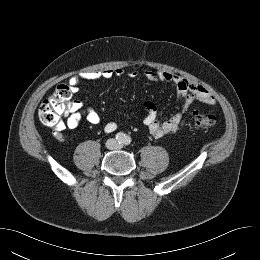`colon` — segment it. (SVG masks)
<instances>
[{
  "instance_id": "obj_1",
  "label": "colon",
  "mask_w": 260,
  "mask_h": 260,
  "mask_svg": "<svg viewBox=\"0 0 260 260\" xmlns=\"http://www.w3.org/2000/svg\"><path fill=\"white\" fill-rule=\"evenodd\" d=\"M72 96V92L67 85L57 86L38 109V117L41 123L47 127L61 126L62 118L68 112ZM215 123L216 117L213 114L199 112L193 114L195 128L209 130Z\"/></svg>"
}]
</instances>
